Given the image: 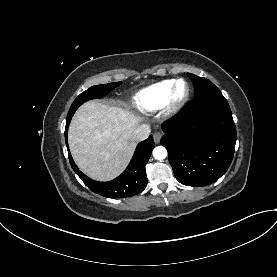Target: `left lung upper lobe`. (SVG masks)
Instances as JSON below:
<instances>
[{"mask_svg":"<svg viewBox=\"0 0 277 277\" xmlns=\"http://www.w3.org/2000/svg\"><path fill=\"white\" fill-rule=\"evenodd\" d=\"M194 85V97H200L210 93H220V90L208 79L187 73Z\"/></svg>","mask_w":277,"mask_h":277,"instance_id":"left-lung-upper-lobe-1","label":"left lung upper lobe"}]
</instances>
